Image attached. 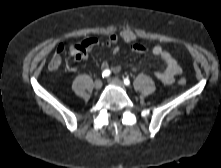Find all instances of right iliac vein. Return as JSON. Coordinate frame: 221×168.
Returning <instances> with one entry per match:
<instances>
[{"label": "right iliac vein", "instance_id": "63e3f726", "mask_svg": "<svg viewBox=\"0 0 221 168\" xmlns=\"http://www.w3.org/2000/svg\"><path fill=\"white\" fill-rule=\"evenodd\" d=\"M102 87V81L100 79L94 82V88L99 90Z\"/></svg>", "mask_w": 221, "mask_h": 168}]
</instances>
